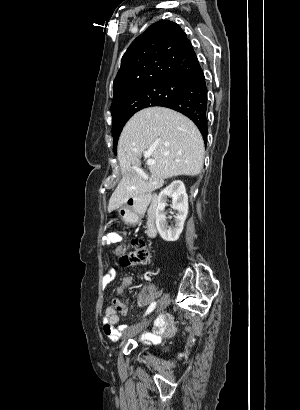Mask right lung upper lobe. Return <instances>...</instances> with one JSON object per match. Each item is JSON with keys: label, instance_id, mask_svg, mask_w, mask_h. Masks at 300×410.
Segmentation results:
<instances>
[{"label": "right lung upper lobe", "instance_id": "cb5924a9", "mask_svg": "<svg viewBox=\"0 0 300 410\" xmlns=\"http://www.w3.org/2000/svg\"><path fill=\"white\" fill-rule=\"evenodd\" d=\"M200 68L190 40L174 22L161 20L138 36L122 57L113 83L111 114L133 91L159 84H185Z\"/></svg>", "mask_w": 300, "mask_h": 410}]
</instances>
